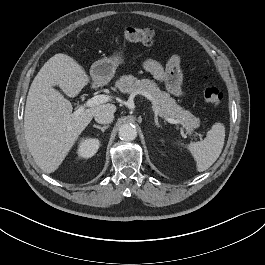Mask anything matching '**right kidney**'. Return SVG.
Listing matches in <instances>:
<instances>
[{"mask_svg": "<svg viewBox=\"0 0 265 265\" xmlns=\"http://www.w3.org/2000/svg\"><path fill=\"white\" fill-rule=\"evenodd\" d=\"M99 146L100 142L96 138L82 139L77 151L78 156L86 159L91 158L95 155Z\"/></svg>", "mask_w": 265, "mask_h": 265, "instance_id": "1", "label": "right kidney"}]
</instances>
